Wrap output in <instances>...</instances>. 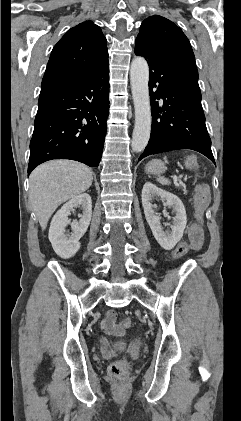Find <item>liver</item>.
Instances as JSON below:
<instances>
[{"label": "liver", "mask_w": 241, "mask_h": 421, "mask_svg": "<svg viewBox=\"0 0 241 421\" xmlns=\"http://www.w3.org/2000/svg\"><path fill=\"white\" fill-rule=\"evenodd\" d=\"M29 199L42 230L57 207L85 192L92 184L91 170L72 160L41 164L29 177Z\"/></svg>", "instance_id": "liver-1"}]
</instances>
